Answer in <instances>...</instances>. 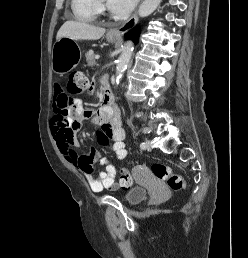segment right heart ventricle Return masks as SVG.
<instances>
[{"instance_id": "e07e8e85", "label": "right heart ventricle", "mask_w": 248, "mask_h": 258, "mask_svg": "<svg viewBox=\"0 0 248 258\" xmlns=\"http://www.w3.org/2000/svg\"><path fill=\"white\" fill-rule=\"evenodd\" d=\"M74 18L83 23H94L99 16L98 0H71Z\"/></svg>"}]
</instances>
